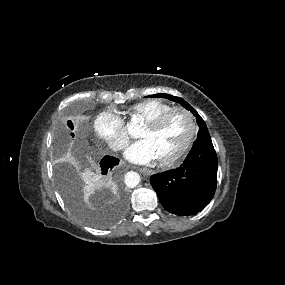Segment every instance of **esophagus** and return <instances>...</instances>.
Masks as SVG:
<instances>
[{
    "label": "esophagus",
    "mask_w": 285,
    "mask_h": 285,
    "mask_svg": "<svg viewBox=\"0 0 285 285\" xmlns=\"http://www.w3.org/2000/svg\"><path fill=\"white\" fill-rule=\"evenodd\" d=\"M140 172H142L145 176H149L153 173V170L149 168H140Z\"/></svg>",
    "instance_id": "esophagus-1"
}]
</instances>
